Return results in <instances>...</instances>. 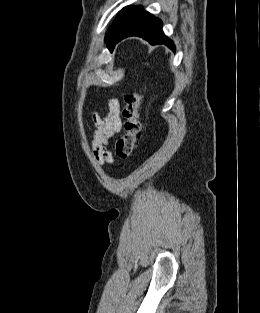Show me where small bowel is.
I'll return each mask as SVG.
<instances>
[{
	"label": "small bowel",
	"mask_w": 260,
	"mask_h": 313,
	"mask_svg": "<svg viewBox=\"0 0 260 313\" xmlns=\"http://www.w3.org/2000/svg\"><path fill=\"white\" fill-rule=\"evenodd\" d=\"M120 108L119 100L112 98L108 100V111L105 116L94 114L92 117L94 131L91 138V148L99 164L110 163L112 161L108 143L111 137L121 131Z\"/></svg>",
	"instance_id": "1"
}]
</instances>
